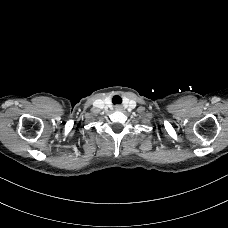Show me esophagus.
Returning <instances> with one entry per match:
<instances>
[{
	"instance_id": "obj_1",
	"label": "esophagus",
	"mask_w": 228,
	"mask_h": 228,
	"mask_svg": "<svg viewBox=\"0 0 228 228\" xmlns=\"http://www.w3.org/2000/svg\"><path fill=\"white\" fill-rule=\"evenodd\" d=\"M121 109V107L120 106H116V110H120Z\"/></svg>"
}]
</instances>
